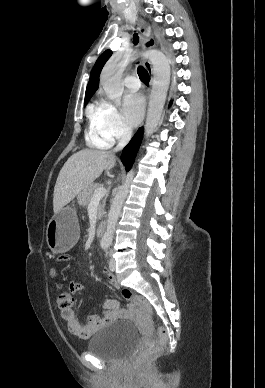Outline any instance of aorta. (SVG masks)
Wrapping results in <instances>:
<instances>
[{
  "mask_svg": "<svg viewBox=\"0 0 265 388\" xmlns=\"http://www.w3.org/2000/svg\"><path fill=\"white\" fill-rule=\"evenodd\" d=\"M143 56L148 58L153 65L154 75L145 123V136L149 137L156 130L164 108L170 84V63L168 58L157 50L146 51ZM129 59L130 54L116 53L107 62L101 73V85L108 98L116 104H120L124 91L121 77ZM133 177L134 171L131 170L113 199L108 214L106 231L101 239L102 246L109 247L112 244L115 226Z\"/></svg>",
  "mask_w": 265,
  "mask_h": 388,
  "instance_id": "762f6f07",
  "label": "aorta"
}]
</instances>
